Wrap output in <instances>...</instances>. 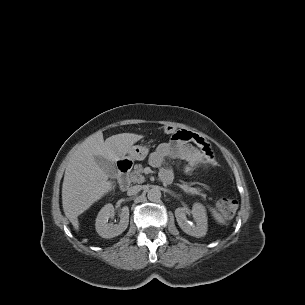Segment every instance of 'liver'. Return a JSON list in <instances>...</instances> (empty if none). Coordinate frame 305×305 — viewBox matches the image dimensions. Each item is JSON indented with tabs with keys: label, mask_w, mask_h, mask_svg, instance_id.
<instances>
[{
	"label": "liver",
	"mask_w": 305,
	"mask_h": 305,
	"mask_svg": "<svg viewBox=\"0 0 305 305\" xmlns=\"http://www.w3.org/2000/svg\"><path fill=\"white\" fill-rule=\"evenodd\" d=\"M142 138L143 135L121 133L104 141L103 134L96 132L73 153L64 174L62 205L75 230L79 229L78 216L114 189L113 182L108 180L109 176L94 157L117 162L124 159L133 144Z\"/></svg>",
	"instance_id": "obj_1"
}]
</instances>
